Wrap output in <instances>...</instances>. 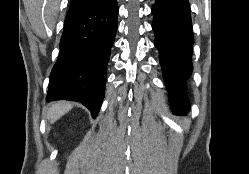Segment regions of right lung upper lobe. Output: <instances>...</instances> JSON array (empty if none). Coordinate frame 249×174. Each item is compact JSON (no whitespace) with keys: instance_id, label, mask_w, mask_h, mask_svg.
<instances>
[{"instance_id":"cb5924a9","label":"right lung upper lobe","mask_w":249,"mask_h":174,"mask_svg":"<svg viewBox=\"0 0 249 174\" xmlns=\"http://www.w3.org/2000/svg\"><path fill=\"white\" fill-rule=\"evenodd\" d=\"M98 1H102V0H71L69 12L79 10L83 7L91 5V4L96 3Z\"/></svg>"}]
</instances>
